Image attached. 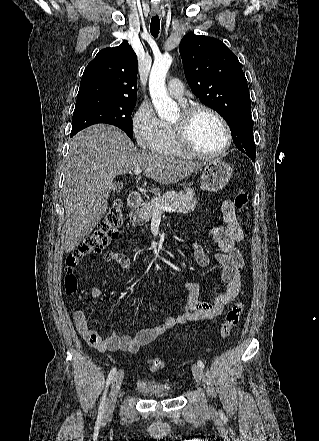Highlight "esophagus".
I'll list each match as a JSON object with an SVG mask.
<instances>
[{
  "label": "esophagus",
  "instance_id": "34e87169",
  "mask_svg": "<svg viewBox=\"0 0 319 441\" xmlns=\"http://www.w3.org/2000/svg\"><path fill=\"white\" fill-rule=\"evenodd\" d=\"M151 12H152L153 15H157V14L160 13V9L157 6H153L152 9H151Z\"/></svg>",
  "mask_w": 319,
  "mask_h": 441
}]
</instances>
